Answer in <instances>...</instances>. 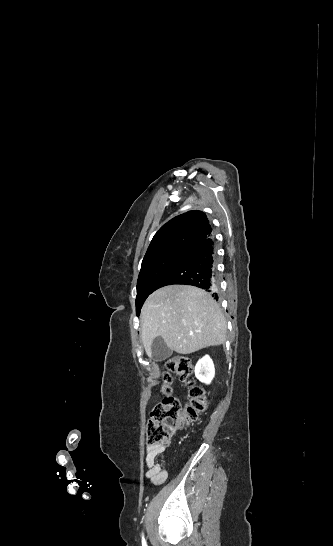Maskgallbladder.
I'll list each match as a JSON object with an SVG mask.
<instances>
[{
    "instance_id": "1",
    "label": "gallbladder",
    "mask_w": 333,
    "mask_h": 546,
    "mask_svg": "<svg viewBox=\"0 0 333 546\" xmlns=\"http://www.w3.org/2000/svg\"><path fill=\"white\" fill-rule=\"evenodd\" d=\"M172 350L169 349L163 338L158 336L152 343V358L154 361H162L172 355Z\"/></svg>"
}]
</instances>
